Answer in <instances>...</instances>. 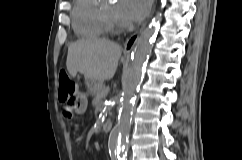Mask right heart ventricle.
Here are the masks:
<instances>
[{
    "label": "right heart ventricle",
    "instance_id": "1",
    "mask_svg": "<svg viewBox=\"0 0 242 160\" xmlns=\"http://www.w3.org/2000/svg\"><path fill=\"white\" fill-rule=\"evenodd\" d=\"M96 0H74L71 11L72 25L76 34L85 39H98L104 36Z\"/></svg>",
    "mask_w": 242,
    "mask_h": 160
}]
</instances>
